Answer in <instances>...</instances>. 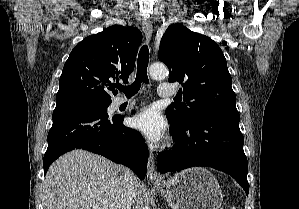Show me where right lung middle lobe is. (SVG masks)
I'll use <instances>...</instances> for the list:
<instances>
[{
    "instance_id": "1",
    "label": "right lung middle lobe",
    "mask_w": 299,
    "mask_h": 209,
    "mask_svg": "<svg viewBox=\"0 0 299 209\" xmlns=\"http://www.w3.org/2000/svg\"><path fill=\"white\" fill-rule=\"evenodd\" d=\"M77 104H81L83 106L89 107L91 109H94L96 111H99L103 113L104 115L108 116L107 114V107L111 104V102H80Z\"/></svg>"
}]
</instances>
